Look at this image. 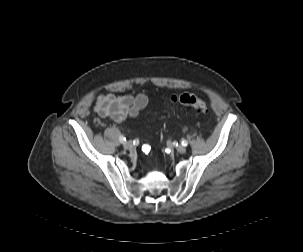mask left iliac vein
<instances>
[{
    "instance_id": "left-iliac-vein-1",
    "label": "left iliac vein",
    "mask_w": 303,
    "mask_h": 252,
    "mask_svg": "<svg viewBox=\"0 0 303 252\" xmlns=\"http://www.w3.org/2000/svg\"><path fill=\"white\" fill-rule=\"evenodd\" d=\"M177 152L180 153V154H184L186 152V148L182 145H179L177 148H176Z\"/></svg>"
}]
</instances>
